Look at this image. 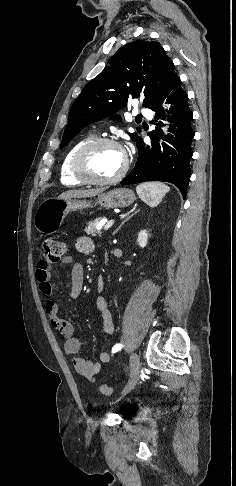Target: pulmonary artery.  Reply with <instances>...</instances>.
<instances>
[{"instance_id":"pulmonary-artery-1","label":"pulmonary artery","mask_w":236,"mask_h":486,"mask_svg":"<svg viewBox=\"0 0 236 486\" xmlns=\"http://www.w3.org/2000/svg\"><path fill=\"white\" fill-rule=\"evenodd\" d=\"M138 112L141 113L142 115L148 117V118L152 117V111L148 108L142 107L138 110Z\"/></svg>"}]
</instances>
